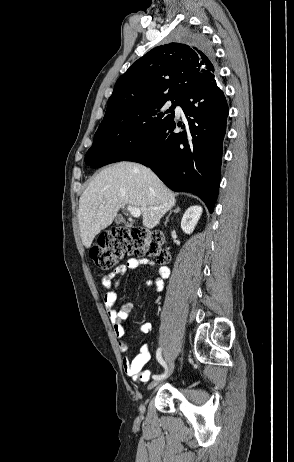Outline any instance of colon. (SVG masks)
<instances>
[{"instance_id": "1", "label": "colon", "mask_w": 294, "mask_h": 462, "mask_svg": "<svg viewBox=\"0 0 294 462\" xmlns=\"http://www.w3.org/2000/svg\"><path fill=\"white\" fill-rule=\"evenodd\" d=\"M165 237L141 227L118 226L100 236L98 244L90 250V257L97 267L110 270L126 256H151L159 263L170 259L164 247Z\"/></svg>"}]
</instances>
